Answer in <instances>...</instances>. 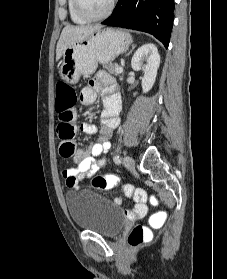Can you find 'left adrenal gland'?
I'll use <instances>...</instances> for the list:
<instances>
[{"label": "left adrenal gland", "instance_id": "obj_1", "mask_svg": "<svg viewBox=\"0 0 227 279\" xmlns=\"http://www.w3.org/2000/svg\"><path fill=\"white\" fill-rule=\"evenodd\" d=\"M134 48H135V45H133V46H132V49H131V51H132V50H133ZM131 51H130V52H131Z\"/></svg>", "mask_w": 227, "mask_h": 279}]
</instances>
